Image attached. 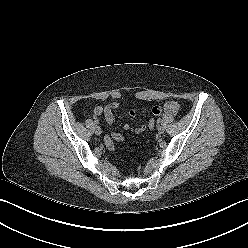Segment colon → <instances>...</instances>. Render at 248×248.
Returning a JSON list of instances; mask_svg holds the SVG:
<instances>
[{
    "mask_svg": "<svg viewBox=\"0 0 248 248\" xmlns=\"http://www.w3.org/2000/svg\"><path fill=\"white\" fill-rule=\"evenodd\" d=\"M147 127L153 129L155 127V120L149 119L147 121ZM114 141L120 142L123 141V136L119 133H113L106 139V146L109 150L114 149Z\"/></svg>",
    "mask_w": 248,
    "mask_h": 248,
    "instance_id": "obj_1",
    "label": "colon"
}]
</instances>
